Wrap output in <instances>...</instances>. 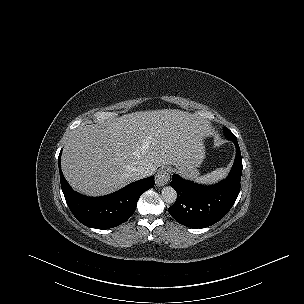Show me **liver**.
I'll return each mask as SVG.
<instances>
[{"mask_svg":"<svg viewBox=\"0 0 304 304\" xmlns=\"http://www.w3.org/2000/svg\"><path fill=\"white\" fill-rule=\"evenodd\" d=\"M207 125L193 114L161 109L122 115L106 125L72 131L62 171L72 188L89 196L112 193L137 180L134 169L180 166L203 150Z\"/></svg>","mask_w":304,"mask_h":304,"instance_id":"6515ba94","label":"liver"}]
</instances>
